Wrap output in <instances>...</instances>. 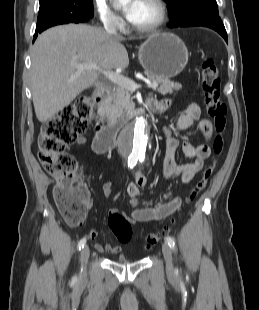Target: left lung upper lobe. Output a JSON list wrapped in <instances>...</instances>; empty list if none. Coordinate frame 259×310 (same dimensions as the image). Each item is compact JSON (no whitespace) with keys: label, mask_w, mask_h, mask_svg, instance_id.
Masks as SVG:
<instances>
[{"label":"left lung upper lobe","mask_w":259,"mask_h":310,"mask_svg":"<svg viewBox=\"0 0 259 310\" xmlns=\"http://www.w3.org/2000/svg\"><path fill=\"white\" fill-rule=\"evenodd\" d=\"M170 11V27L191 21L222 24L216 0H164Z\"/></svg>","instance_id":"1"}]
</instances>
